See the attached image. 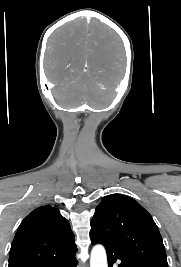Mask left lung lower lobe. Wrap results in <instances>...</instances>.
<instances>
[{"mask_svg": "<svg viewBox=\"0 0 181 267\" xmlns=\"http://www.w3.org/2000/svg\"><path fill=\"white\" fill-rule=\"evenodd\" d=\"M93 244L95 243H101L94 240H91ZM104 247L106 248L107 252V258H108V265L109 267H113L116 260H120L121 263L118 265V267H149L144 263H141L135 259H132L128 256H125L122 254L119 250H117L115 247L106 245L102 243Z\"/></svg>", "mask_w": 181, "mask_h": 267, "instance_id": "1", "label": "left lung lower lobe"}]
</instances>
